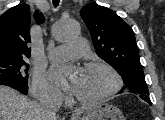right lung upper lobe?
Segmentation results:
<instances>
[{
	"label": "right lung upper lobe",
	"instance_id": "obj_1",
	"mask_svg": "<svg viewBox=\"0 0 165 120\" xmlns=\"http://www.w3.org/2000/svg\"><path fill=\"white\" fill-rule=\"evenodd\" d=\"M34 18L39 24L44 22L43 15L38 12ZM29 42L30 7L26 4L14 6L0 16V59L30 57Z\"/></svg>",
	"mask_w": 165,
	"mask_h": 120
}]
</instances>
